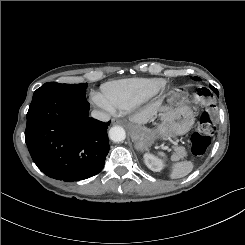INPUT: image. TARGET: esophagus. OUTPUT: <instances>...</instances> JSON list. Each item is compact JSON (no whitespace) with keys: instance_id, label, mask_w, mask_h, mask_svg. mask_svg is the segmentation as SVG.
I'll use <instances>...</instances> for the list:
<instances>
[{"instance_id":"obj_1","label":"esophagus","mask_w":245,"mask_h":245,"mask_svg":"<svg viewBox=\"0 0 245 245\" xmlns=\"http://www.w3.org/2000/svg\"><path fill=\"white\" fill-rule=\"evenodd\" d=\"M112 124L113 125H121V124H123V121L122 120H119V119H113L112 120Z\"/></svg>"}]
</instances>
